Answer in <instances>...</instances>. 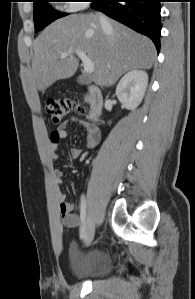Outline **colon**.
I'll return each mask as SVG.
<instances>
[{
    "instance_id": "obj_1",
    "label": "colon",
    "mask_w": 195,
    "mask_h": 299,
    "mask_svg": "<svg viewBox=\"0 0 195 299\" xmlns=\"http://www.w3.org/2000/svg\"><path fill=\"white\" fill-rule=\"evenodd\" d=\"M72 110L80 114L86 113L85 105L77 103L68 97H54L46 101V111L51 116L53 123L57 124Z\"/></svg>"
}]
</instances>
